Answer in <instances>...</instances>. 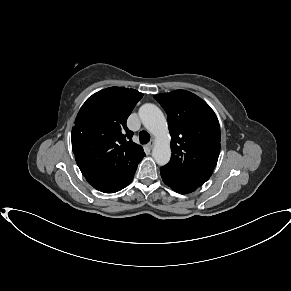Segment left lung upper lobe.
<instances>
[{"label":"left lung upper lobe","mask_w":291,"mask_h":291,"mask_svg":"<svg viewBox=\"0 0 291 291\" xmlns=\"http://www.w3.org/2000/svg\"><path fill=\"white\" fill-rule=\"evenodd\" d=\"M168 116L171 159L163 166L172 174L203 185L220 153V126L210 106L195 94L176 90L155 95Z\"/></svg>","instance_id":"obj_1"}]
</instances>
